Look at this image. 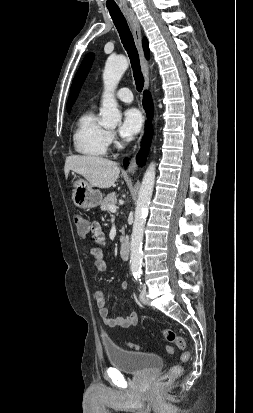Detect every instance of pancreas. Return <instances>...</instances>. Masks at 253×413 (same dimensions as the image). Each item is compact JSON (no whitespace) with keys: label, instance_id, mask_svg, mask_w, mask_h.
I'll use <instances>...</instances> for the list:
<instances>
[{"label":"pancreas","instance_id":"pancreas-1","mask_svg":"<svg viewBox=\"0 0 253 413\" xmlns=\"http://www.w3.org/2000/svg\"><path fill=\"white\" fill-rule=\"evenodd\" d=\"M117 202V196L115 192H112L108 194L107 197L104 198V200L101 202V210L103 211H110V206L115 205Z\"/></svg>","mask_w":253,"mask_h":413}]
</instances>
